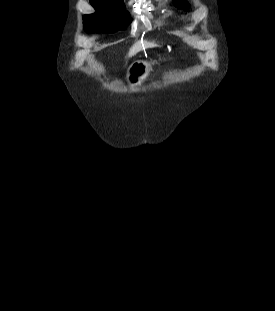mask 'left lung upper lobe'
<instances>
[{
	"mask_svg": "<svg viewBox=\"0 0 275 311\" xmlns=\"http://www.w3.org/2000/svg\"><path fill=\"white\" fill-rule=\"evenodd\" d=\"M176 5L182 9H187L189 7V4L183 0L179 1Z\"/></svg>",
	"mask_w": 275,
	"mask_h": 311,
	"instance_id": "obj_1",
	"label": "left lung upper lobe"
}]
</instances>
